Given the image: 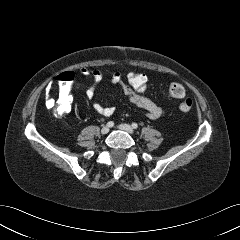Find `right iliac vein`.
Here are the masks:
<instances>
[{
  "label": "right iliac vein",
  "mask_w": 240,
  "mask_h": 240,
  "mask_svg": "<svg viewBox=\"0 0 240 240\" xmlns=\"http://www.w3.org/2000/svg\"><path fill=\"white\" fill-rule=\"evenodd\" d=\"M109 132V127L108 126H104L102 129H101V133L102 134H107Z\"/></svg>",
  "instance_id": "1"
}]
</instances>
